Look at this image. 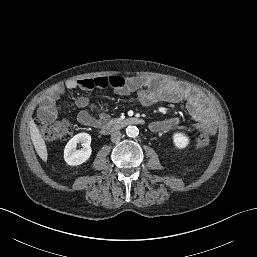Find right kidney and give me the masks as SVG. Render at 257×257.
<instances>
[{
	"instance_id": "obj_1",
	"label": "right kidney",
	"mask_w": 257,
	"mask_h": 257,
	"mask_svg": "<svg viewBox=\"0 0 257 257\" xmlns=\"http://www.w3.org/2000/svg\"><path fill=\"white\" fill-rule=\"evenodd\" d=\"M82 143L83 148L77 150V144ZM91 136L88 133H78L72 137L64 148V160L70 166L80 165L86 162L91 154Z\"/></svg>"
}]
</instances>
